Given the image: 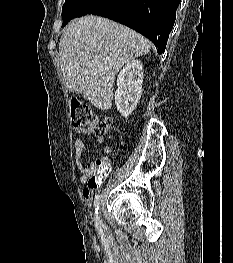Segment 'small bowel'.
I'll return each instance as SVG.
<instances>
[{
  "instance_id": "small-bowel-1",
  "label": "small bowel",
  "mask_w": 233,
  "mask_h": 263,
  "mask_svg": "<svg viewBox=\"0 0 233 263\" xmlns=\"http://www.w3.org/2000/svg\"><path fill=\"white\" fill-rule=\"evenodd\" d=\"M77 132L86 135L91 136L95 133V131L92 128H80L77 129ZM96 141L99 144L103 145V151L105 153H110L113 148L112 144V137L106 136V135H98L96 138ZM106 141H109L108 144H105ZM85 150V143L82 139L78 138L75 140V163L78 168V170L81 172V182L84 184L88 183V180L91 176H93L96 172V161L91 162L89 165H84L82 162V155ZM96 189H89L88 187L84 188L83 190V196L87 202H91L94 196V191Z\"/></svg>"
}]
</instances>
